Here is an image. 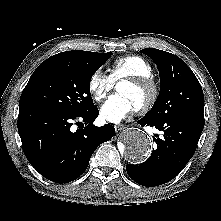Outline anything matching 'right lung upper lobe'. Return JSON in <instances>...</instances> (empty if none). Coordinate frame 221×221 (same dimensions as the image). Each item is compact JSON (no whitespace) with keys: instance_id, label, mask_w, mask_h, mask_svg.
I'll list each match as a JSON object with an SVG mask.
<instances>
[{"instance_id":"right-lung-upper-lobe-1","label":"right lung upper lobe","mask_w":221,"mask_h":221,"mask_svg":"<svg viewBox=\"0 0 221 221\" xmlns=\"http://www.w3.org/2000/svg\"><path fill=\"white\" fill-rule=\"evenodd\" d=\"M99 53H93L82 50L66 51L48 58L49 60H60L76 63H88L92 61Z\"/></svg>"}]
</instances>
